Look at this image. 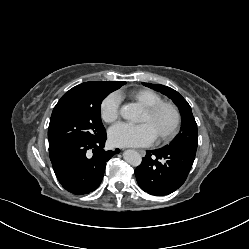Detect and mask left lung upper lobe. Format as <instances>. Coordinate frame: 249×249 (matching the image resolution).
<instances>
[{
    "instance_id": "obj_1",
    "label": "left lung upper lobe",
    "mask_w": 249,
    "mask_h": 249,
    "mask_svg": "<svg viewBox=\"0 0 249 249\" xmlns=\"http://www.w3.org/2000/svg\"><path fill=\"white\" fill-rule=\"evenodd\" d=\"M143 85L167 95L174 101L180 110L182 117L180 132L166 148H187L196 150L198 145L197 124L188 102L177 91L170 87L150 83H143Z\"/></svg>"
}]
</instances>
